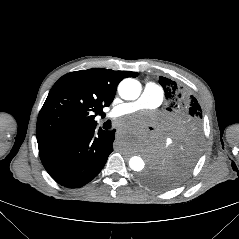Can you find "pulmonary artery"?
Here are the masks:
<instances>
[{"label":"pulmonary artery","instance_id":"pulmonary-artery-1","mask_svg":"<svg viewBox=\"0 0 239 239\" xmlns=\"http://www.w3.org/2000/svg\"><path fill=\"white\" fill-rule=\"evenodd\" d=\"M163 98V89L154 82H147L144 85L141 96L137 100L113 107L107 114V117L114 119L142 109H155L161 105Z\"/></svg>","mask_w":239,"mask_h":239}]
</instances>
